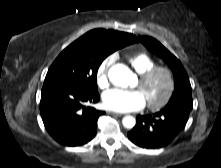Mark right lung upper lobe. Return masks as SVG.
<instances>
[{
    "label": "right lung upper lobe",
    "mask_w": 221,
    "mask_h": 168,
    "mask_svg": "<svg viewBox=\"0 0 221 168\" xmlns=\"http://www.w3.org/2000/svg\"><path fill=\"white\" fill-rule=\"evenodd\" d=\"M90 33L96 34L106 39L125 42L128 45L131 43L138 42V39L133 34L119 32L115 30L95 29V30L90 31Z\"/></svg>",
    "instance_id": "1"
}]
</instances>
